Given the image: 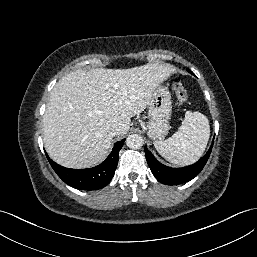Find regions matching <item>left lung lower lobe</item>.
<instances>
[{
  "label": "left lung lower lobe",
  "mask_w": 257,
  "mask_h": 257,
  "mask_svg": "<svg viewBox=\"0 0 257 257\" xmlns=\"http://www.w3.org/2000/svg\"><path fill=\"white\" fill-rule=\"evenodd\" d=\"M188 72L192 73L190 70ZM212 147L213 143L208 152L199 161L182 168L167 167L160 163L146 147L144 151L147 163L156 179L166 185H178L192 180L201 172L210 156Z\"/></svg>",
  "instance_id": "0a47b994"
}]
</instances>
